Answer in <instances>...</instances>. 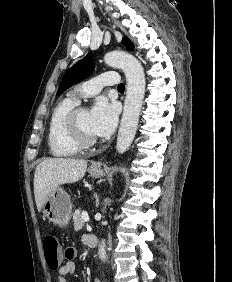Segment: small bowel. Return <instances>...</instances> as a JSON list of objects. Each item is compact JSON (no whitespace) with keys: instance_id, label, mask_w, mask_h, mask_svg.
<instances>
[{"instance_id":"small-bowel-1","label":"small bowel","mask_w":232,"mask_h":282,"mask_svg":"<svg viewBox=\"0 0 232 282\" xmlns=\"http://www.w3.org/2000/svg\"><path fill=\"white\" fill-rule=\"evenodd\" d=\"M87 235L82 237V241L86 243ZM67 253L65 258L68 260L64 265H62L57 272L56 282H67L66 277L75 274L76 266L73 259L76 257V250L74 248H67ZM93 282H101L99 279H95Z\"/></svg>"}]
</instances>
